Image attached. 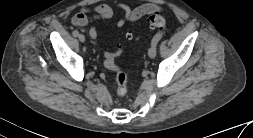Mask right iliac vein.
<instances>
[{
    "label": "right iliac vein",
    "mask_w": 253,
    "mask_h": 138,
    "mask_svg": "<svg viewBox=\"0 0 253 138\" xmlns=\"http://www.w3.org/2000/svg\"><path fill=\"white\" fill-rule=\"evenodd\" d=\"M78 38H79L80 42H82V43L85 41V36L83 34H80L78 36Z\"/></svg>",
    "instance_id": "63e3f726"
}]
</instances>
